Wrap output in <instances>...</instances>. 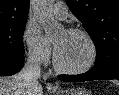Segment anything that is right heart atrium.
<instances>
[{
  "label": "right heart atrium",
  "instance_id": "right-heart-atrium-1",
  "mask_svg": "<svg viewBox=\"0 0 119 95\" xmlns=\"http://www.w3.org/2000/svg\"><path fill=\"white\" fill-rule=\"evenodd\" d=\"M23 42L28 59L35 65H43L50 58V48L40 29L34 24H28L23 33Z\"/></svg>",
  "mask_w": 119,
  "mask_h": 95
}]
</instances>
